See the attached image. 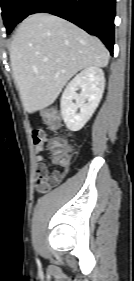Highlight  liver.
Here are the masks:
<instances>
[{
  "mask_svg": "<svg viewBox=\"0 0 134 281\" xmlns=\"http://www.w3.org/2000/svg\"><path fill=\"white\" fill-rule=\"evenodd\" d=\"M108 61L109 53L97 37L47 13L23 20L10 47L11 68L28 113L53 104L78 71L106 67Z\"/></svg>",
  "mask_w": 134,
  "mask_h": 281,
  "instance_id": "6515ba94",
  "label": "liver"
}]
</instances>
